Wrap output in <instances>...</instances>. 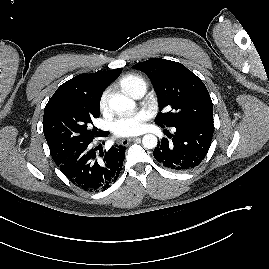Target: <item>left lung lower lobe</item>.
I'll list each match as a JSON object with an SVG mask.
<instances>
[{
  "instance_id": "obj_1",
  "label": "left lung lower lobe",
  "mask_w": 269,
  "mask_h": 269,
  "mask_svg": "<svg viewBox=\"0 0 269 269\" xmlns=\"http://www.w3.org/2000/svg\"><path fill=\"white\" fill-rule=\"evenodd\" d=\"M213 122H188L175 126L172 141L162 138L153 151L155 159L175 171L198 166L211 146Z\"/></svg>"
}]
</instances>
